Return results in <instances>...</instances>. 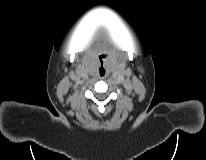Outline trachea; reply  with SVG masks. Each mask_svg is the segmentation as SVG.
Masks as SVG:
<instances>
[{"label": "trachea", "instance_id": "trachea-1", "mask_svg": "<svg viewBox=\"0 0 206 160\" xmlns=\"http://www.w3.org/2000/svg\"><path fill=\"white\" fill-rule=\"evenodd\" d=\"M105 74V70H100V75L103 76Z\"/></svg>", "mask_w": 206, "mask_h": 160}]
</instances>
